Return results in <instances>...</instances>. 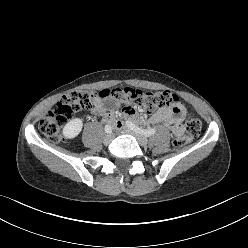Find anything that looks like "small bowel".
<instances>
[{
	"instance_id": "small-bowel-1",
	"label": "small bowel",
	"mask_w": 248,
	"mask_h": 248,
	"mask_svg": "<svg viewBox=\"0 0 248 248\" xmlns=\"http://www.w3.org/2000/svg\"><path fill=\"white\" fill-rule=\"evenodd\" d=\"M116 104L107 98L97 97L94 100L93 113L103 118V120L113 127L120 128L122 122L115 117ZM124 115L133 120L142 123L165 124L170 132L175 136H181L184 133L182 122L186 115L184 106L180 103L165 106L158 109L150 118L138 117L134 109L124 108Z\"/></svg>"
}]
</instances>
